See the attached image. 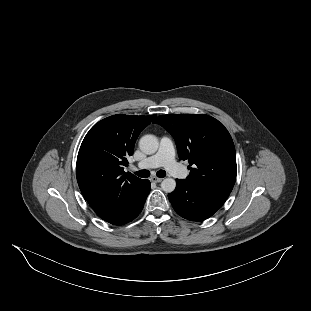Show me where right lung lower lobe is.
<instances>
[{
  "label": "right lung lower lobe",
  "mask_w": 311,
  "mask_h": 311,
  "mask_svg": "<svg viewBox=\"0 0 311 311\" xmlns=\"http://www.w3.org/2000/svg\"><path fill=\"white\" fill-rule=\"evenodd\" d=\"M149 192L150 182L143 180L141 186L126 203L101 218L113 225H123L132 221L142 211Z\"/></svg>",
  "instance_id": "obj_1"
}]
</instances>
